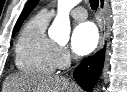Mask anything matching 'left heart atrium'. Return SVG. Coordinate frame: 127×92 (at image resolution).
I'll list each match as a JSON object with an SVG mask.
<instances>
[{
    "label": "left heart atrium",
    "instance_id": "left-heart-atrium-1",
    "mask_svg": "<svg viewBox=\"0 0 127 92\" xmlns=\"http://www.w3.org/2000/svg\"><path fill=\"white\" fill-rule=\"evenodd\" d=\"M98 31L91 22L78 24L72 33V49L78 55H86L92 52L98 44Z\"/></svg>",
    "mask_w": 127,
    "mask_h": 92
}]
</instances>
